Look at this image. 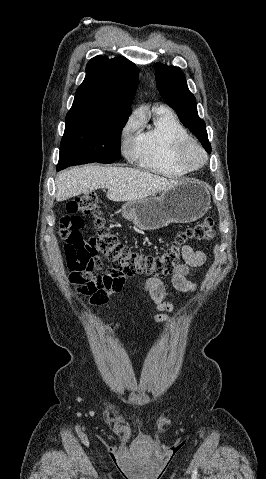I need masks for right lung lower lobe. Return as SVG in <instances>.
I'll return each mask as SVG.
<instances>
[{
    "label": "right lung lower lobe",
    "mask_w": 266,
    "mask_h": 479,
    "mask_svg": "<svg viewBox=\"0 0 266 479\" xmlns=\"http://www.w3.org/2000/svg\"><path fill=\"white\" fill-rule=\"evenodd\" d=\"M61 170L60 168L57 167V171Z\"/></svg>",
    "instance_id": "1"
}]
</instances>
